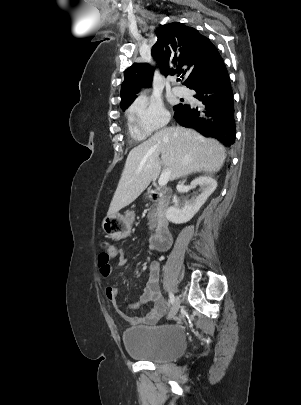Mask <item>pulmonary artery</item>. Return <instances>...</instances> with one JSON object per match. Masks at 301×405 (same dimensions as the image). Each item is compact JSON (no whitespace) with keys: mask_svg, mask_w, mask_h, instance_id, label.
Listing matches in <instances>:
<instances>
[{"mask_svg":"<svg viewBox=\"0 0 301 405\" xmlns=\"http://www.w3.org/2000/svg\"><path fill=\"white\" fill-rule=\"evenodd\" d=\"M173 92L178 96H185L187 94V90L183 87H174Z\"/></svg>","mask_w":301,"mask_h":405,"instance_id":"obj_1","label":"pulmonary artery"}]
</instances>
